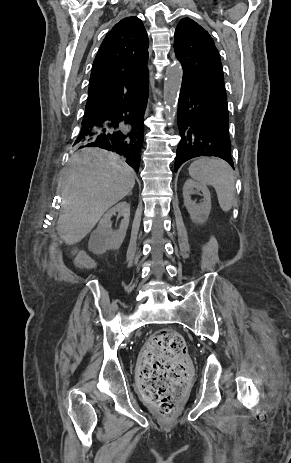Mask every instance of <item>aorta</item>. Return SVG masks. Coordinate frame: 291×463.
<instances>
[{
	"mask_svg": "<svg viewBox=\"0 0 291 463\" xmlns=\"http://www.w3.org/2000/svg\"><path fill=\"white\" fill-rule=\"evenodd\" d=\"M166 82L164 85V102L166 104L165 117L173 122L177 111V101L182 83L183 69L180 64L174 62L166 69Z\"/></svg>",
	"mask_w": 291,
	"mask_h": 463,
	"instance_id": "aorta-1",
	"label": "aorta"
}]
</instances>
